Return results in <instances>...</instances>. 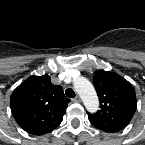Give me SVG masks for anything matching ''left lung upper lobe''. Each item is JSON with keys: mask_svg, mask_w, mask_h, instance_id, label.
I'll use <instances>...</instances> for the list:
<instances>
[{"mask_svg": "<svg viewBox=\"0 0 145 145\" xmlns=\"http://www.w3.org/2000/svg\"><path fill=\"white\" fill-rule=\"evenodd\" d=\"M94 86L100 101V110L88 113L89 121L105 132H118L132 119L137 100L133 86L123 77L104 70L94 74Z\"/></svg>", "mask_w": 145, "mask_h": 145, "instance_id": "obj_1", "label": "left lung upper lobe"}]
</instances>
